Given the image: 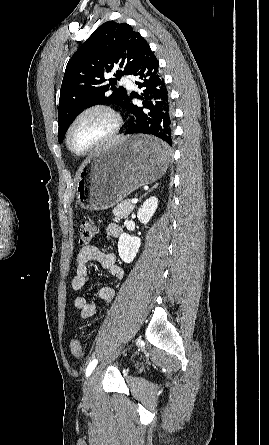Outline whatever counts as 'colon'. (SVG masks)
I'll use <instances>...</instances> for the list:
<instances>
[{"mask_svg": "<svg viewBox=\"0 0 269 445\" xmlns=\"http://www.w3.org/2000/svg\"><path fill=\"white\" fill-rule=\"evenodd\" d=\"M96 234V227L89 221H83L78 228V240L79 244L83 247L89 245ZM70 350L73 356L81 357L83 355V349L80 342L77 339H73L70 342Z\"/></svg>", "mask_w": 269, "mask_h": 445, "instance_id": "obj_1", "label": "colon"}]
</instances>
